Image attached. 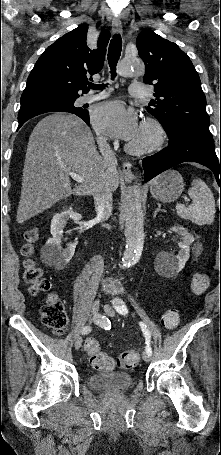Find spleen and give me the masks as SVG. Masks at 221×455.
<instances>
[{"label":"spleen","mask_w":221,"mask_h":455,"mask_svg":"<svg viewBox=\"0 0 221 455\" xmlns=\"http://www.w3.org/2000/svg\"><path fill=\"white\" fill-rule=\"evenodd\" d=\"M188 194L192 203L189 206L177 203V215L197 225L212 224L215 217V199L207 184L201 179H194Z\"/></svg>","instance_id":"3e777b00"}]
</instances>
